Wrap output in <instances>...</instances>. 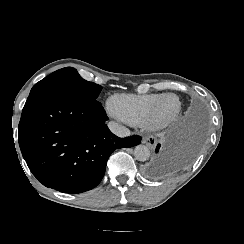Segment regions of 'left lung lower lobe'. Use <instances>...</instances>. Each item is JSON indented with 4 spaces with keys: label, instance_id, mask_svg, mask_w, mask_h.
Returning <instances> with one entry per match:
<instances>
[{
    "label": "left lung lower lobe",
    "instance_id": "1",
    "mask_svg": "<svg viewBox=\"0 0 244 244\" xmlns=\"http://www.w3.org/2000/svg\"><path fill=\"white\" fill-rule=\"evenodd\" d=\"M159 148H160V145H158V146H157V148H156V152H158V151H159Z\"/></svg>",
    "mask_w": 244,
    "mask_h": 244
}]
</instances>
